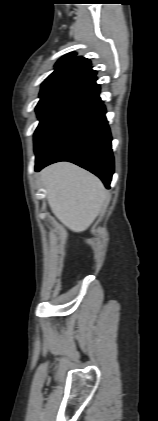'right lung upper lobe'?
<instances>
[{
  "mask_svg": "<svg viewBox=\"0 0 158 421\" xmlns=\"http://www.w3.org/2000/svg\"><path fill=\"white\" fill-rule=\"evenodd\" d=\"M95 75L96 71L92 69L89 59L76 57V53H69L57 61L55 70L42 83L41 89L64 84L82 87L95 78Z\"/></svg>",
  "mask_w": 158,
  "mask_h": 421,
  "instance_id": "right-lung-upper-lobe-1",
  "label": "right lung upper lobe"
}]
</instances>
